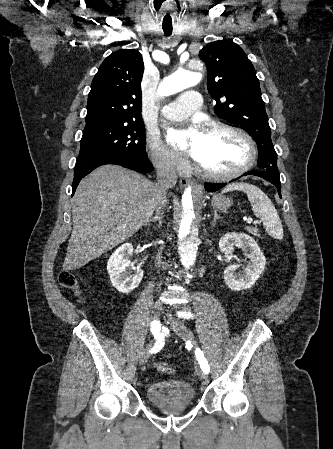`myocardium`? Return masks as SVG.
Listing matches in <instances>:
<instances>
[{"mask_svg": "<svg viewBox=\"0 0 333 449\" xmlns=\"http://www.w3.org/2000/svg\"><path fill=\"white\" fill-rule=\"evenodd\" d=\"M205 131L206 132H226V133L238 136L245 142V144L247 146V159L239 168L229 171V172H224V173H216V172L209 171L208 169H206L205 167H203L201 164H199L196 161L195 165H196L197 169L199 170V172L203 176H205L206 178L213 180V181H219V182L228 181V180H232V179H235V178L243 175L244 173L249 171L254 166L256 157H257L256 144H255L253 138L245 130L235 127V126H232V125H229V124L215 122V123H211V124L207 125V127L205 128Z\"/></svg>", "mask_w": 333, "mask_h": 449, "instance_id": "obj_1", "label": "myocardium"}]
</instances>
